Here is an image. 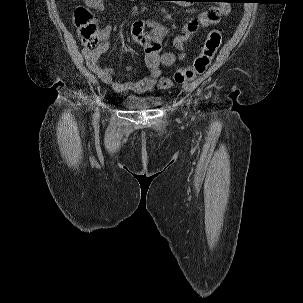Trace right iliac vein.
Here are the masks:
<instances>
[{"label":"right iliac vein","mask_w":303,"mask_h":303,"mask_svg":"<svg viewBox=\"0 0 303 303\" xmlns=\"http://www.w3.org/2000/svg\"><path fill=\"white\" fill-rule=\"evenodd\" d=\"M95 118H96V119L99 118V110H97V112L95 113Z\"/></svg>","instance_id":"right-iliac-vein-1"}]
</instances>
